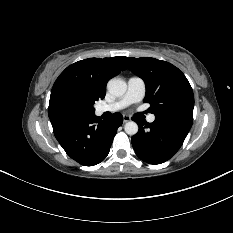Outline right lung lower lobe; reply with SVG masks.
I'll return each mask as SVG.
<instances>
[{
  "instance_id": "right-lung-lower-lobe-1",
  "label": "right lung lower lobe",
  "mask_w": 233,
  "mask_h": 233,
  "mask_svg": "<svg viewBox=\"0 0 233 233\" xmlns=\"http://www.w3.org/2000/svg\"><path fill=\"white\" fill-rule=\"evenodd\" d=\"M50 121L54 135L65 152L81 165L93 166L108 155L123 117L114 113L110 119L99 121L92 113L54 116Z\"/></svg>"
}]
</instances>
